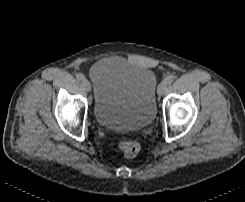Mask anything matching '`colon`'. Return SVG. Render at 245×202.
Instances as JSON below:
<instances>
[{
  "instance_id": "5ec220e1",
  "label": "colon",
  "mask_w": 245,
  "mask_h": 202,
  "mask_svg": "<svg viewBox=\"0 0 245 202\" xmlns=\"http://www.w3.org/2000/svg\"><path fill=\"white\" fill-rule=\"evenodd\" d=\"M119 148L127 158L135 157L140 151V144L135 140H123L119 143Z\"/></svg>"
}]
</instances>
